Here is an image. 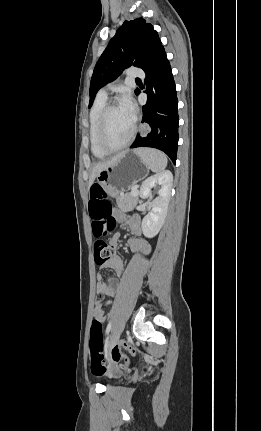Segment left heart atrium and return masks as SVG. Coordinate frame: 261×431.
<instances>
[{"instance_id":"1","label":"left heart atrium","mask_w":261,"mask_h":431,"mask_svg":"<svg viewBox=\"0 0 261 431\" xmlns=\"http://www.w3.org/2000/svg\"><path fill=\"white\" fill-rule=\"evenodd\" d=\"M121 106L133 117H135V104L129 95L123 96Z\"/></svg>"}]
</instances>
